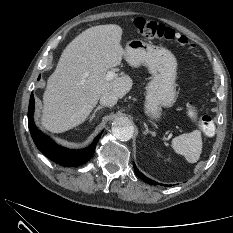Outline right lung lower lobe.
I'll use <instances>...</instances> for the list:
<instances>
[{"mask_svg":"<svg viewBox=\"0 0 233 233\" xmlns=\"http://www.w3.org/2000/svg\"><path fill=\"white\" fill-rule=\"evenodd\" d=\"M34 112V97L33 94L30 97L29 109H28V126L32 135V138L38 147V149L50 160L67 167H73L81 165L87 162L94 154L96 144L101 136L99 134L94 142L85 149L71 150L57 145L48 136L39 131L33 121Z\"/></svg>","mask_w":233,"mask_h":233,"instance_id":"98d812e1","label":"right lung lower lobe"}]
</instances>
